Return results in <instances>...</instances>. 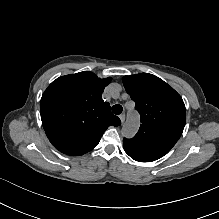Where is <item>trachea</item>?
<instances>
[{
  "mask_svg": "<svg viewBox=\"0 0 219 219\" xmlns=\"http://www.w3.org/2000/svg\"><path fill=\"white\" fill-rule=\"evenodd\" d=\"M122 111H123V107H122L120 104H115V105L112 107V112H113L115 115H119Z\"/></svg>",
  "mask_w": 219,
  "mask_h": 219,
  "instance_id": "obj_1",
  "label": "trachea"
}]
</instances>
